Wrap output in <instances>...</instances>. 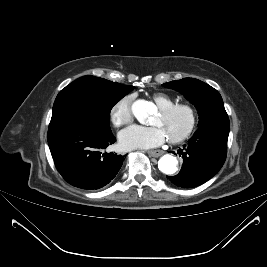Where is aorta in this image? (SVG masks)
Wrapping results in <instances>:
<instances>
[{
  "label": "aorta",
  "instance_id": "obj_1",
  "mask_svg": "<svg viewBox=\"0 0 267 267\" xmlns=\"http://www.w3.org/2000/svg\"><path fill=\"white\" fill-rule=\"evenodd\" d=\"M151 112V103L140 99L133 103L132 113L140 123H145ZM178 160L175 156L165 154L158 161L159 170L167 175H172L177 171Z\"/></svg>",
  "mask_w": 267,
  "mask_h": 267
}]
</instances>
